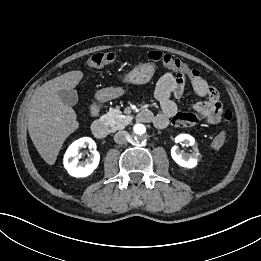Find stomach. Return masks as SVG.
Returning a JSON list of instances; mask_svg holds the SVG:
<instances>
[{
	"label": "stomach",
	"instance_id": "obj_1",
	"mask_svg": "<svg viewBox=\"0 0 261 261\" xmlns=\"http://www.w3.org/2000/svg\"><path fill=\"white\" fill-rule=\"evenodd\" d=\"M154 72V64H140L125 75L124 82L133 85H142L151 80ZM124 92V89L121 87L103 88L96 93V98L99 101L105 102L122 96Z\"/></svg>",
	"mask_w": 261,
	"mask_h": 261
}]
</instances>
